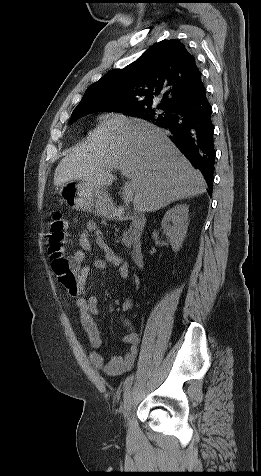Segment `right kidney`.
Returning <instances> with one entry per match:
<instances>
[{
  "instance_id": "obj_1",
  "label": "right kidney",
  "mask_w": 261,
  "mask_h": 476,
  "mask_svg": "<svg viewBox=\"0 0 261 476\" xmlns=\"http://www.w3.org/2000/svg\"><path fill=\"white\" fill-rule=\"evenodd\" d=\"M188 209L189 207L187 205L178 204L165 213L161 222L163 233L168 237L174 252L179 251L186 237Z\"/></svg>"
}]
</instances>
